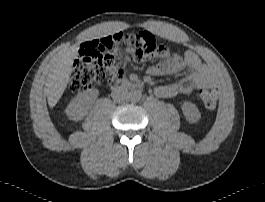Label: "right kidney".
<instances>
[{"label": "right kidney", "instance_id": "right-kidney-1", "mask_svg": "<svg viewBox=\"0 0 265 202\" xmlns=\"http://www.w3.org/2000/svg\"><path fill=\"white\" fill-rule=\"evenodd\" d=\"M99 91L97 89H87L80 92L68 105L67 116L74 121H80L87 114V111L97 99Z\"/></svg>", "mask_w": 265, "mask_h": 202}]
</instances>
